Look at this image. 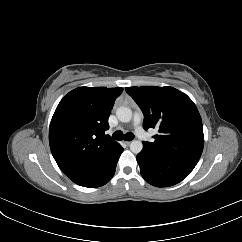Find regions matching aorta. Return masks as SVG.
Masks as SVG:
<instances>
[{
	"label": "aorta",
	"instance_id": "762f6f07",
	"mask_svg": "<svg viewBox=\"0 0 242 242\" xmlns=\"http://www.w3.org/2000/svg\"><path fill=\"white\" fill-rule=\"evenodd\" d=\"M116 116L119 121L123 123H127L132 119V111L130 108L122 106L116 110ZM142 149H143V144L140 140H133L131 142L130 150L133 153L138 154L142 151Z\"/></svg>",
	"mask_w": 242,
	"mask_h": 242
}]
</instances>
